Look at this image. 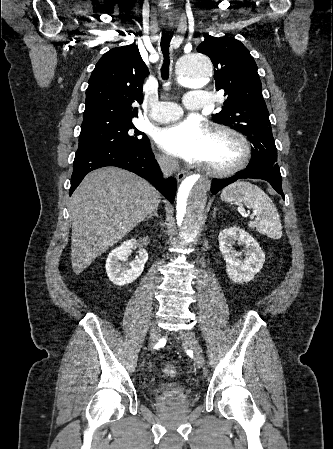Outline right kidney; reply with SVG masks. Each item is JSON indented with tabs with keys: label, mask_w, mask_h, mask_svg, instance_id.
I'll list each match as a JSON object with an SVG mask.
<instances>
[{
	"label": "right kidney",
	"mask_w": 333,
	"mask_h": 449,
	"mask_svg": "<svg viewBox=\"0 0 333 449\" xmlns=\"http://www.w3.org/2000/svg\"><path fill=\"white\" fill-rule=\"evenodd\" d=\"M139 247L138 256L129 264H123L127 260L132 248ZM148 260V253L136 240H128L121 246L112 250L106 259L107 275L115 285L123 286L135 281L143 272Z\"/></svg>",
	"instance_id": "1"
}]
</instances>
